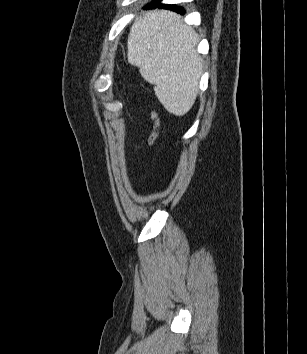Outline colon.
<instances>
[{
    "label": "colon",
    "instance_id": "1",
    "mask_svg": "<svg viewBox=\"0 0 307 354\" xmlns=\"http://www.w3.org/2000/svg\"><path fill=\"white\" fill-rule=\"evenodd\" d=\"M153 118H154V119H156L155 114H153ZM155 138H156V134L154 133V134H152V136H151L150 140H151V141H154V140H155Z\"/></svg>",
    "mask_w": 307,
    "mask_h": 354
}]
</instances>
